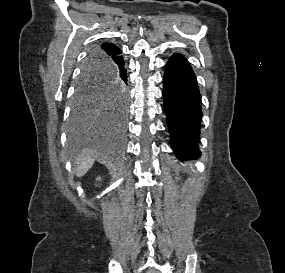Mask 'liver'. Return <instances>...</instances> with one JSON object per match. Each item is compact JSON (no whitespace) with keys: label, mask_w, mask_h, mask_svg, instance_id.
<instances>
[{"label":"liver","mask_w":285,"mask_h":273,"mask_svg":"<svg viewBox=\"0 0 285 273\" xmlns=\"http://www.w3.org/2000/svg\"><path fill=\"white\" fill-rule=\"evenodd\" d=\"M95 157L92 155H81L77 158L75 173L77 177L84 176L93 166Z\"/></svg>","instance_id":"obj_1"}]
</instances>
